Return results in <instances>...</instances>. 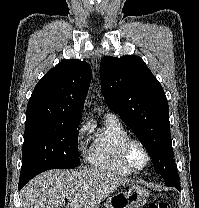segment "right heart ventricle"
Here are the masks:
<instances>
[{"label": "right heart ventricle", "mask_w": 199, "mask_h": 208, "mask_svg": "<svg viewBox=\"0 0 199 208\" xmlns=\"http://www.w3.org/2000/svg\"><path fill=\"white\" fill-rule=\"evenodd\" d=\"M129 137L127 129L118 119L105 116L101 127L92 137L91 148L86 157L88 163L101 171L122 176L132 174L120 157L121 145Z\"/></svg>", "instance_id": "obj_1"}]
</instances>
